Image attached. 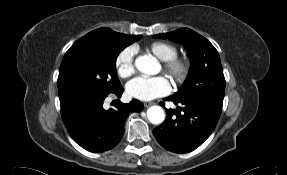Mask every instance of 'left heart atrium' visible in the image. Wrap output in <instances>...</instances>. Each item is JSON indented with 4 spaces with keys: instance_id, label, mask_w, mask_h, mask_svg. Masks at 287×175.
Masks as SVG:
<instances>
[{
    "instance_id": "left-heart-atrium-1",
    "label": "left heart atrium",
    "mask_w": 287,
    "mask_h": 175,
    "mask_svg": "<svg viewBox=\"0 0 287 175\" xmlns=\"http://www.w3.org/2000/svg\"><path fill=\"white\" fill-rule=\"evenodd\" d=\"M126 89L131 97L141 101H149L168 94L171 90V85L164 76H139L128 82Z\"/></svg>"
}]
</instances>
